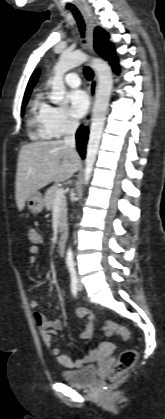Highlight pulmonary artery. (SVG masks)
I'll return each instance as SVG.
<instances>
[{
    "mask_svg": "<svg viewBox=\"0 0 165 419\" xmlns=\"http://www.w3.org/2000/svg\"><path fill=\"white\" fill-rule=\"evenodd\" d=\"M65 83L70 87H78L81 83L80 78L75 73H69L64 78Z\"/></svg>",
    "mask_w": 165,
    "mask_h": 419,
    "instance_id": "pulmonary-artery-1",
    "label": "pulmonary artery"
}]
</instances>
